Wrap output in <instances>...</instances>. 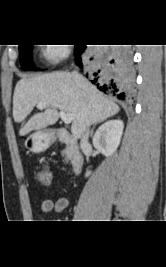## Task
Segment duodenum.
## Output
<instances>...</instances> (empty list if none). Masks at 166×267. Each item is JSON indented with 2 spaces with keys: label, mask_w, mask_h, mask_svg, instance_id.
Segmentation results:
<instances>
[{
  "label": "duodenum",
  "mask_w": 166,
  "mask_h": 267,
  "mask_svg": "<svg viewBox=\"0 0 166 267\" xmlns=\"http://www.w3.org/2000/svg\"><path fill=\"white\" fill-rule=\"evenodd\" d=\"M52 138L67 146V155L70 159L71 170L74 174H78L83 167L84 159L79 150L77 139L66 129L53 130Z\"/></svg>",
  "instance_id": "1"
}]
</instances>
